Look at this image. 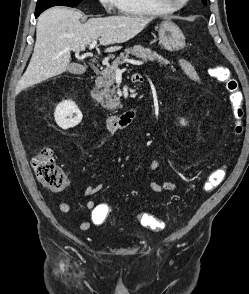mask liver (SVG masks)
<instances>
[{
	"instance_id": "6515ba94",
	"label": "liver",
	"mask_w": 249,
	"mask_h": 294,
	"mask_svg": "<svg viewBox=\"0 0 249 294\" xmlns=\"http://www.w3.org/2000/svg\"><path fill=\"white\" fill-rule=\"evenodd\" d=\"M80 11L53 7L38 18L36 42L30 63L18 82L16 92L58 76L69 69L70 52L84 51L93 40L107 46L124 43L139 34L151 21L140 16L91 18L81 23ZM118 46L107 48L114 52Z\"/></svg>"
}]
</instances>
